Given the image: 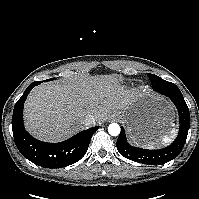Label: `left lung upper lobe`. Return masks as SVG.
<instances>
[{"label":"left lung upper lobe","instance_id":"5c2ea615","mask_svg":"<svg viewBox=\"0 0 199 199\" xmlns=\"http://www.w3.org/2000/svg\"><path fill=\"white\" fill-rule=\"evenodd\" d=\"M147 75H148V77L151 81L152 88L154 90L158 89V88H164V87H168L170 85H173V83L165 81L162 78L158 77L157 75L149 74V73Z\"/></svg>","mask_w":199,"mask_h":199}]
</instances>
